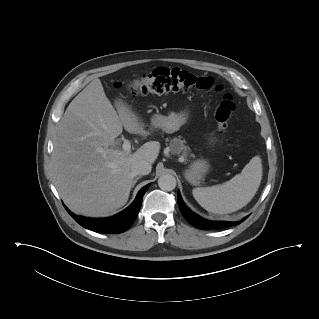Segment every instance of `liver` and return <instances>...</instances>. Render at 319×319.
Instances as JSON below:
<instances>
[{"instance_id": "liver-1", "label": "liver", "mask_w": 319, "mask_h": 319, "mask_svg": "<svg viewBox=\"0 0 319 319\" xmlns=\"http://www.w3.org/2000/svg\"><path fill=\"white\" fill-rule=\"evenodd\" d=\"M114 109L99 79L90 82L69 104L59 121L52 154L54 184L76 214L106 217L126 204L138 160L153 164L160 143L150 141L135 153L114 150L124 129L143 137L149 130L121 101Z\"/></svg>"}]
</instances>
